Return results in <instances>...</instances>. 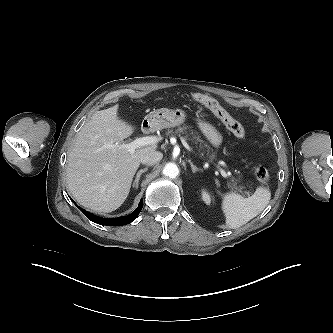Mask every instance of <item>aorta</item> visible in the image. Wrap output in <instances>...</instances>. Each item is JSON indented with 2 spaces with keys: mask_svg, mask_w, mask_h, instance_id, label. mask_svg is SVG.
<instances>
[{
  "mask_svg": "<svg viewBox=\"0 0 333 333\" xmlns=\"http://www.w3.org/2000/svg\"><path fill=\"white\" fill-rule=\"evenodd\" d=\"M163 174L169 178H175L179 175V168L175 163H167L163 168Z\"/></svg>",
  "mask_w": 333,
  "mask_h": 333,
  "instance_id": "aorta-1",
  "label": "aorta"
}]
</instances>
